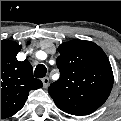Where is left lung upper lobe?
Returning <instances> with one entry per match:
<instances>
[{
    "instance_id": "obj_1",
    "label": "left lung upper lobe",
    "mask_w": 121,
    "mask_h": 121,
    "mask_svg": "<svg viewBox=\"0 0 121 121\" xmlns=\"http://www.w3.org/2000/svg\"><path fill=\"white\" fill-rule=\"evenodd\" d=\"M57 66L60 78L48 88L62 111L87 115L108 98L113 86V72L103 50L93 42L72 40L62 43Z\"/></svg>"
}]
</instances>
